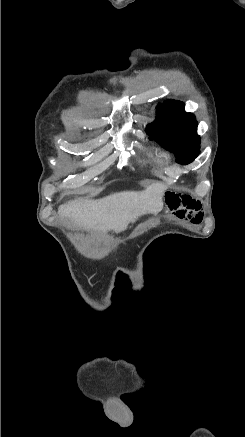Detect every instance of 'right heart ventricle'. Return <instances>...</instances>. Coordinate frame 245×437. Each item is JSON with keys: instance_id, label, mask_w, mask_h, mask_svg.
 Here are the masks:
<instances>
[{"instance_id": "1", "label": "right heart ventricle", "mask_w": 245, "mask_h": 437, "mask_svg": "<svg viewBox=\"0 0 245 437\" xmlns=\"http://www.w3.org/2000/svg\"><path fill=\"white\" fill-rule=\"evenodd\" d=\"M143 156L150 162H157L154 156L150 152H144Z\"/></svg>"}]
</instances>
